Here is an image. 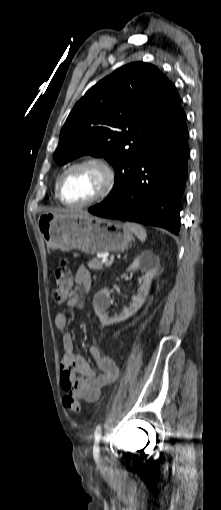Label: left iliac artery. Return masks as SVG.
<instances>
[{"mask_svg":"<svg viewBox=\"0 0 221 510\" xmlns=\"http://www.w3.org/2000/svg\"><path fill=\"white\" fill-rule=\"evenodd\" d=\"M101 433H102V429H101V426L98 425L95 429V432H94V436H95V446H94V449L98 450V443L100 441V438H101Z\"/></svg>","mask_w":221,"mask_h":510,"instance_id":"left-iliac-artery-1","label":"left iliac artery"}]
</instances>
